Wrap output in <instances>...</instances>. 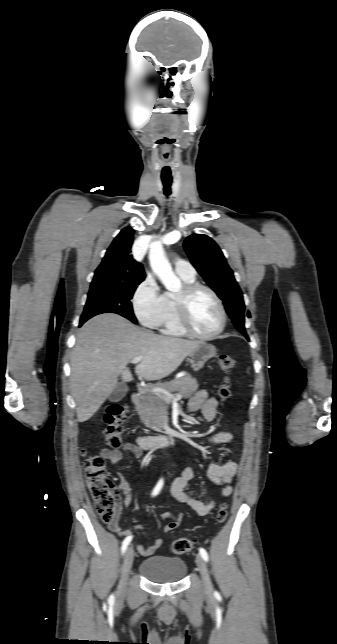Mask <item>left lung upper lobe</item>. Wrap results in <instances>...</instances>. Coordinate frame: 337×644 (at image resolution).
I'll return each mask as SVG.
<instances>
[{
  "label": "left lung upper lobe",
  "mask_w": 337,
  "mask_h": 644,
  "mask_svg": "<svg viewBox=\"0 0 337 644\" xmlns=\"http://www.w3.org/2000/svg\"><path fill=\"white\" fill-rule=\"evenodd\" d=\"M184 249L199 274L223 300L236 329L249 339L244 327L243 295L218 245L206 235L193 234L184 241Z\"/></svg>",
  "instance_id": "obj_1"
}]
</instances>
